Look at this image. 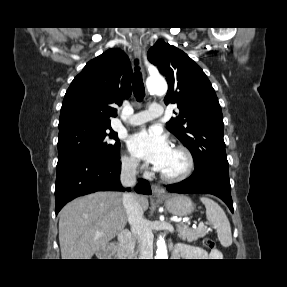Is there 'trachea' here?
<instances>
[{"label":"trachea","instance_id":"1","mask_svg":"<svg viewBox=\"0 0 287 287\" xmlns=\"http://www.w3.org/2000/svg\"><path fill=\"white\" fill-rule=\"evenodd\" d=\"M135 64H138V61H135ZM139 67H135V73L133 74V79H132V88H133V93L138 102L143 101L145 97V90H144V84L142 81V76L141 73L139 72Z\"/></svg>","mask_w":287,"mask_h":287}]
</instances>
